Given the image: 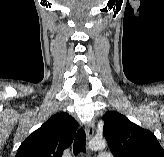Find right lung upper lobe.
Wrapping results in <instances>:
<instances>
[{"label":"right lung upper lobe","mask_w":164,"mask_h":157,"mask_svg":"<svg viewBox=\"0 0 164 157\" xmlns=\"http://www.w3.org/2000/svg\"><path fill=\"white\" fill-rule=\"evenodd\" d=\"M78 123L68 113H58L30 134L15 157H62L74 138Z\"/></svg>","instance_id":"cb5924a9"}]
</instances>
